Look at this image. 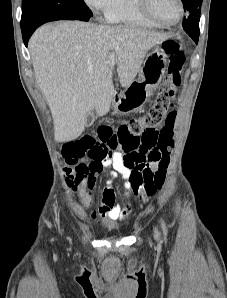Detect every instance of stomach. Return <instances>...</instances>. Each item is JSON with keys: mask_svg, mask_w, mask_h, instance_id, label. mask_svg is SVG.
Listing matches in <instances>:
<instances>
[{"mask_svg": "<svg viewBox=\"0 0 227 298\" xmlns=\"http://www.w3.org/2000/svg\"><path fill=\"white\" fill-rule=\"evenodd\" d=\"M166 69V59L158 49L150 52L134 80L124 90H116L112 100L114 110L120 114H131L141 109L148 101L153 89L160 84Z\"/></svg>", "mask_w": 227, "mask_h": 298, "instance_id": "stomach-1", "label": "stomach"}]
</instances>
